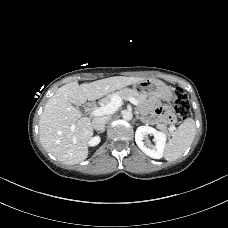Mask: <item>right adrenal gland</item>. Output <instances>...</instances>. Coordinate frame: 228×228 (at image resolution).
<instances>
[{
  "label": "right adrenal gland",
  "mask_w": 228,
  "mask_h": 228,
  "mask_svg": "<svg viewBox=\"0 0 228 228\" xmlns=\"http://www.w3.org/2000/svg\"><path fill=\"white\" fill-rule=\"evenodd\" d=\"M104 131H105V129H103V130L99 131L98 133H103Z\"/></svg>",
  "instance_id": "2a0ac1e0"
}]
</instances>
